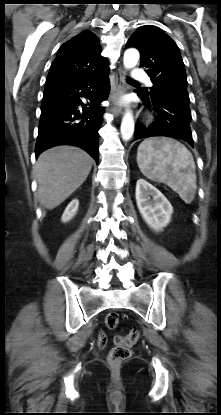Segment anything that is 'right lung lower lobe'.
<instances>
[{
    "instance_id": "obj_1",
    "label": "right lung lower lobe",
    "mask_w": 221,
    "mask_h": 415,
    "mask_svg": "<svg viewBox=\"0 0 221 415\" xmlns=\"http://www.w3.org/2000/svg\"><path fill=\"white\" fill-rule=\"evenodd\" d=\"M108 75L109 70L93 77L45 85L36 157L52 146L67 144L83 148L98 163L101 102L109 96Z\"/></svg>"
}]
</instances>
